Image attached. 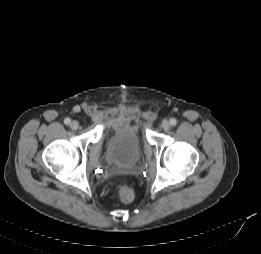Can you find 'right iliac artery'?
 Returning <instances> with one entry per match:
<instances>
[{
    "instance_id": "82829eb1",
    "label": "right iliac artery",
    "mask_w": 261,
    "mask_h": 254,
    "mask_svg": "<svg viewBox=\"0 0 261 254\" xmlns=\"http://www.w3.org/2000/svg\"><path fill=\"white\" fill-rule=\"evenodd\" d=\"M70 122H71L70 118H65L64 123H65L66 125H69Z\"/></svg>"
}]
</instances>
